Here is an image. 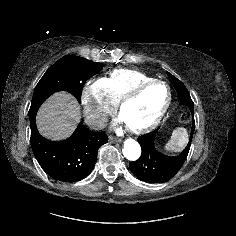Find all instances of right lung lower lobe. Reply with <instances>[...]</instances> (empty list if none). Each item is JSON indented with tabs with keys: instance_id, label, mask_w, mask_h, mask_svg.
<instances>
[{
	"instance_id": "right-lung-lower-lobe-1",
	"label": "right lung lower lobe",
	"mask_w": 236,
	"mask_h": 236,
	"mask_svg": "<svg viewBox=\"0 0 236 236\" xmlns=\"http://www.w3.org/2000/svg\"><path fill=\"white\" fill-rule=\"evenodd\" d=\"M37 110L29 112L31 146L44 172L61 182L71 183L87 177L96 163L99 147L108 141L107 135L92 132L80 123L66 140L45 139L36 127Z\"/></svg>"
}]
</instances>
